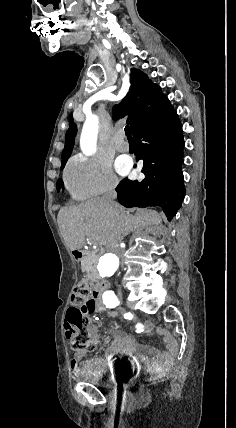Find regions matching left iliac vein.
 I'll use <instances>...</instances> for the list:
<instances>
[{
  "label": "left iliac vein",
  "instance_id": "left-iliac-vein-1",
  "mask_svg": "<svg viewBox=\"0 0 236 428\" xmlns=\"http://www.w3.org/2000/svg\"><path fill=\"white\" fill-rule=\"evenodd\" d=\"M118 297L123 298V292H118Z\"/></svg>",
  "mask_w": 236,
  "mask_h": 428
}]
</instances>
